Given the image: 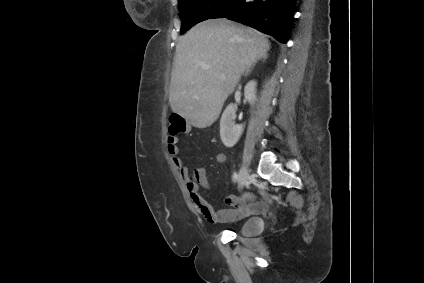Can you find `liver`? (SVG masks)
I'll return each instance as SVG.
<instances>
[{"instance_id":"6515ba94","label":"liver","mask_w":424,"mask_h":283,"mask_svg":"<svg viewBox=\"0 0 424 283\" xmlns=\"http://www.w3.org/2000/svg\"><path fill=\"white\" fill-rule=\"evenodd\" d=\"M269 49L264 34L228 19L195 25L176 46L169 92L172 111L196 128L212 125L241 75Z\"/></svg>"}]
</instances>
